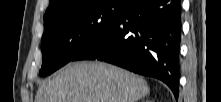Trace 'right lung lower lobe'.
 Instances as JSON below:
<instances>
[{"label": "right lung lower lobe", "mask_w": 221, "mask_h": 102, "mask_svg": "<svg viewBox=\"0 0 221 102\" xmlns=\"http://www.w3.org/2000/svg\"><path fill=\"white\" fill-rule=\"evenodd\" d=\"M181 9L179 0H127L119 19L72 61L98 59L179 90Z\"/></svg>", "instance_id": "obj_1"}]
</instances>
